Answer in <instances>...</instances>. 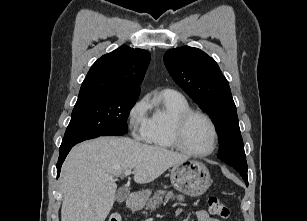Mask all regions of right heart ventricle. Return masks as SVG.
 Instances as JSON below:
<instances>
[{
	"mask_svg": "<svg viewBox=\"0 0 307 221\" xmlns=\"http://www.w3.org/2000/svg\"><path fill=\"white\" fill-rule=\"evenodd\" d=\"M148 108L152 113L148 122L146 142L155 147L174 149V123L181 113L191 109L189 102L180 93L165 90L148 103Z\"/></svg>",
	"mask_w": 307,
	"mask_h": 221,
	"instance_id": "obj_1",
	"label": "right heart ventricle"
}]
</instances>
